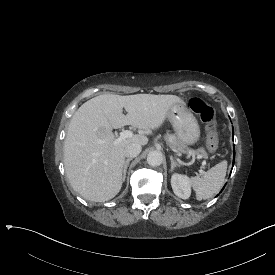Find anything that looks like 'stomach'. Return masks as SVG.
<instances>
[{"instance_id":"obj_1","label":"stomach","mask_w":275,"mask_h":275,"mask_svg":"<svg viewBox=\"0 0 275 275\" xmlns=\"http://www.w3.org/2000/svg\"><path fill=\"white\" fill-rule=\"evenodd\" d=\"M167 118L171 122L177 139L184 145H192L199 140L200 128L193 114L181 103L173 104Z\"/></svg>"}]
</instances>
